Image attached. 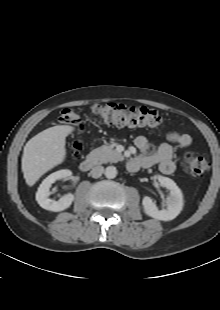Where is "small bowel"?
Wrapping results in <instances>:
<instances>
[{
  "label": "small bowel",
  "instance_id": "obj_1",
  "mask_svg": "<svg viewBox=\"0 0 220 310\" xmlns=\"http://www.w3.org/2000/svg\"><path fill=\"white\" fill-rule=\"evenodd\" d=\"M192 144V137L185 132L172 131L167 133L166 141L160 143L153 153H150V143L145 136H138L135 139V145L141 152L136 158L139 162V168H149L157 165L163 174H172L176 165L173 160V146L187 148ZM137 169V170H138Z\"/></svg>",
  "mask_w": 220,
  "mask_h": 310
}]
</instances>
